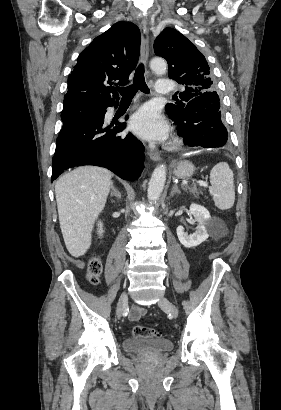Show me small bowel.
Masks as SVG:
<instances>
[{
    "instance_id": "1",
    "label": "small bowel",
    "mask_w": 281,
    "mask_h": 410,
    "mask_svg": "<svg viewBox=\"0 0 281 410\" xmlns=\"http://www.w3.org/2000/svg\"><path fill=\"white\" fill-rule=\"evenodd\" d=\"M144 314L145 310L143 308L134 306L129 313V318L132 321H138Z\"/></svg>"
}]
</instances>
